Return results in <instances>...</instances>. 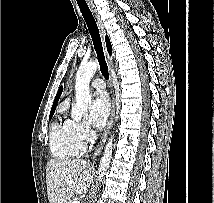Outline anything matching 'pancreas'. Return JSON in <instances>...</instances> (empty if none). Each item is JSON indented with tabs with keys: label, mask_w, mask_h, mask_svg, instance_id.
Masks as SVG:
<instances>
[{
	"label": "pancreas",
	"mask_w": 214,
	"mask_h": 203,
	"mask_svg": "<svg viewBox=\"0 0 214 203\" xmlns=\"http://www.w3.org/2000/svg\"><path fill=\"white\" fill-rule=\"evenodd\" d=\"M67 203H72V201H68Z\"/></svg>",
	"instance_id": "obj_1"
}]
</instances>
